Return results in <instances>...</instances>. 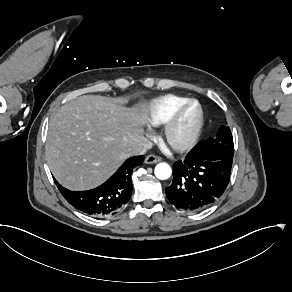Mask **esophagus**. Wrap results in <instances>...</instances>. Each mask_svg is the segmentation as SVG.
<instances>
[{
    "mask_svg": "<svg viewBox=\"0 0 292 292\" xmlns=\"http://www.w3.org/2000/svg\"><path fill=\"white\" fill-rule=\"evenodd\" d=\"M161 161V157L156 156V155H148L145 158V163L146 164H155Z\"/></svg>",
    "mask_w": 292,
    "mask_h": 292,
    "instance_id": "34e87169",
    "label": "esophagus"
}]
</instances>
